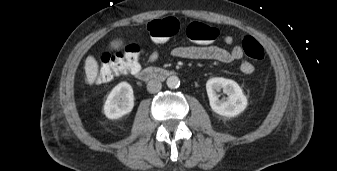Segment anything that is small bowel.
Returning a JSON list of instances; mask_svg holds the SVG:
<instances>
[{
  "label": "small bowel",
  "instance_id": "c3829d8e",
  "mask_svg": "<svg viewBox=\"0 0 337 171\" xmlns=\"http://www.w3.org/2000/svg\"><path fill=\"white\" fill-rule=\"evenodd\" d=\"M223 41L227 45L233 44V38L229 35L224 36ZM171 54L175 58L188 60H214L222 63H231L243 58V51L239 46L226 49L217 45H180L172 49ZM159 58V52L154 48L146 57L145 62L152 64ZM240 70L244 74H251L254 71L253 64L243 59L240 63Z\"/></svg>",
  "mask_w": 337,
  "mask_h": 171
}]
</instances>
